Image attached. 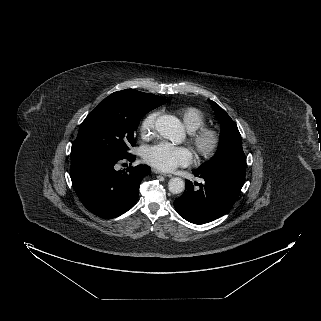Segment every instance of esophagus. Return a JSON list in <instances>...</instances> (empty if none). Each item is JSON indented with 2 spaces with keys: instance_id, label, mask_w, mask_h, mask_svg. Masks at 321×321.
<instances>
[{
  "instance_id": "34e87169",
  "label": "esophagus",
  "mask_w": 321,
  "mask_h": 321,
  "mask_svg": "<svg viewBox=\"0 0 321 321\" xmlns=\"http://www.w3.org/2000/svg\"><path fill=\"white\" fill-rule=\"evenodd\" d=\"M152 172L155 173V174H159V175L171 177V175H168V174H166V173H164V172H161V171H159V170L156 169V168H152Z\"/></svg>"
}]
</instances>
